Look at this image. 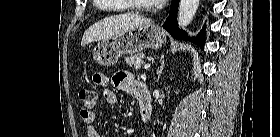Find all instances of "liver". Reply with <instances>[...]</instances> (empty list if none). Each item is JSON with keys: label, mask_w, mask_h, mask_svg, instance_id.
I'll use <instances>...</instances> for the list:
<instances>
[{"label": "liver", "mask_w": 280, "mask_h": 137, "mask_svg": "<svg viewBox=\"0 0 280 137\" xmlns=\"http://www.w3.org/2000/svg\"><path fill=\"white\" fill-rule=\"evenodd\" d=\"M151 23L150 19L134 13L111 16L91 25L83 34L81 46L94 41L109 39L124 31Z\"/></svg>", "instance_id": "liver-1"}]
</instances>
